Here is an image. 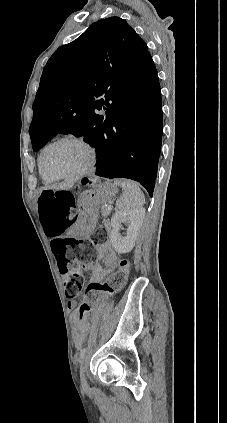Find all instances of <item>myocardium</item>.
Listing matches in <instances>:
<instances>
[{
  "label": "myocardium",
  "mask_w": 227,
  "mask_h": 423,
  "mask_svg": "<svg viewBox=\"0 0 227 423\" xmlns=\"http://www.w3.org/2000/svg\"><path fill=\"white\" fill-rule=\"evenodd\" d=\"M70 141L77 142L83 145L88 150L89 152L88 164L81 171L75 174H62V173H56L52 171L47 165V161H46L47 155L50 153L51 150H53L57 146L65 142H70ZM97 161H98L97 149L85 137L78 136V135H66L50 143L49 145L45 147L41 156V166L44 173L48 177L56 179V180H67V181L80 180L84 178L85 176L89 175L95 170Z\"/></svg>",
  "instance_id": "myocardium-1"
}]
</instances>
